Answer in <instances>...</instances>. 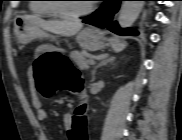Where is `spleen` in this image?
Returning a JSON list of instances; mask_svg holds the SVG:
<instances>
[{"label": "spleen", "mask_w": 182, "mask_h": 140, "mask_svg": "<svg viewBox=\"0 0 182 140\" xmlns=\"http://www.w3.org/2000/svg\"><path fill=\"white\" fill-rule=\"evenodd\" d=\"M111 44L115 52H120L127 46L126 42H121L118 39H111Z\"/></svg>", "instance_id": "3e777b00"}]
</instances>
